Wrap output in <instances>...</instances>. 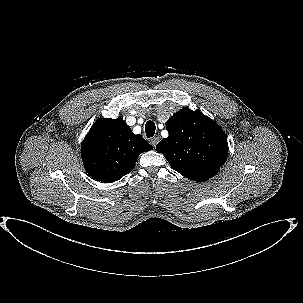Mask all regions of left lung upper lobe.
<instances>
[{"label": "left lung upper lobe", "instance_id": "1", "mask_svg": "<svg viewBox=\"0 0 303 303\" xmlns=\"http://www.w3.org/2000/svg\"><path fill=\"white\" fill-rule=\"evenodd\" d=\"M169 136L156 146L173 170L201 182L215 176L228 156L224 131L209 117L187 108L166 123Z\"/></svg>", "mask_w": 303, "mask_h": 303}]
</instances>
